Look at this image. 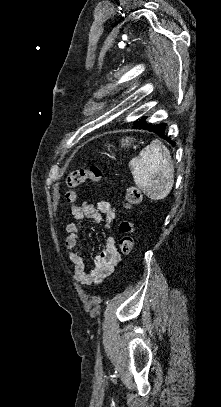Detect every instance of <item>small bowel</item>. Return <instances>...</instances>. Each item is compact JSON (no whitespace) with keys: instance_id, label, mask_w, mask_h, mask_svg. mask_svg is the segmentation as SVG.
<instances>
[{"instance_id":"obj_1","label":"small bowel","mask_w":221,"mask_h":407,"mask_svg":"<svg viewBox=\"0 0 221 407\" xmlns=\"http://www.w3.org/2000/svg\"><path fill=\"white\" fill-rule=\"evenodd\" d=\"M71 213L73 221L65 225V231L68 233L65 246L68 258L74 266L73 279L80 285L98 284L113 271L117 263L113 259L120 258L115 238L113 236L107 238L106 248L95 257L94 268L88 271L84 256L78 246L79 232L84 218L89 219L92 223L103 221L106 228H112L117 216L116 208L106 200L99 201L97 206L88 201H82L79 204L71 205Z\"/></svg>"}]
</instances>
